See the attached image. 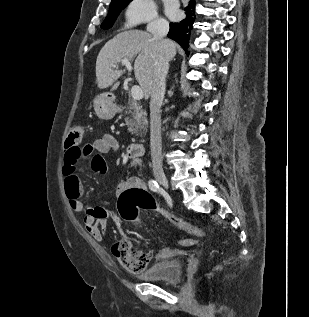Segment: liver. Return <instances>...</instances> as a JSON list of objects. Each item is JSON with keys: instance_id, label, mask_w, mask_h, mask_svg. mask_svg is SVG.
I'll use <instances>...</instances> for the list:
<instances>
[{"instance_id": "1", "label": "liver", "mask_w": 309, "mask_h": 317, "mask_svg": "<svg viewBox=\"0 0 309 317\" xmlns=\"http://www.w3.org/2000/svg\"><path fill=\"white\" fill-rule=\"evenodd\" d=\"M173 45L172 58L176 54V45L174 43ZM160 50L161 43L148 32L129 30L119 33L103 46L97 56L96 82L98 87L112 86V91L117 89L120 84L117 80L122 76L124 70L114 66L122 59L130 60L136 57L134 63L135 78L145 99H148L151 95L154 69Z\"/></svg>"}]
</instances>
